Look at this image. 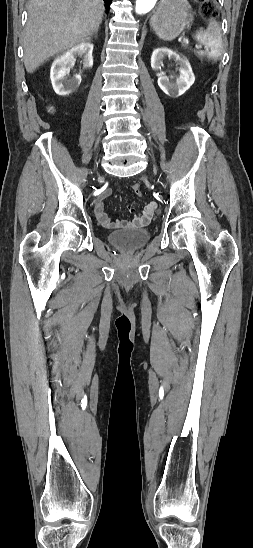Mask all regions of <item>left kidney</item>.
Wrapping results in <instances>:
<instances>
[{"mask_svg": "<svg viewBox=\"0 0 253 548\" xmlns=\"http://www.w3.org/2000/svg\"><path fill=\"white\" fill-rule=\"evenodd\" d=\"M168 57L179 65L180 75L175 81L171 80L163 72H160L158 85L160 89L171 97H178L184 94L194 83L195 76L191 65L186 57H181L176 52L167 48L155 49L151 56V67L153 70H160L163 66V60Z\"/></svg>", "mask_w": 253, "mask_h": 548, "instance_id": "left-kidney-1", "label": "left kidney"}]
</instances>
